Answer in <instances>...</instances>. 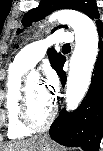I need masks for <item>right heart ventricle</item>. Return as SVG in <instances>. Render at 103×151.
<instances>
[{
    "label": "right heart ventricle",
    "mask_w": 103,
    "mask_h": 151,
    "mask_svg": "<svg viewBox=\"0 0 103 151\" xmlns=\"http://www.w3.org/2000/svg\"><path fill=\"white\" fill-rule=\"evenodd\" d=\"M27 71L15 60L9 67L5 88V108L7 114V134L10 139H20L30 135L31 131L24 128L18 117V105L22 87V76Z\"/></svg>",
    "instance_id": "obj_1"
}]
</instances>
